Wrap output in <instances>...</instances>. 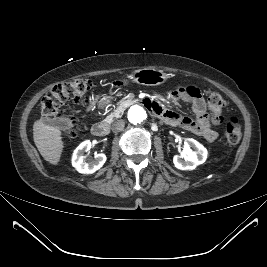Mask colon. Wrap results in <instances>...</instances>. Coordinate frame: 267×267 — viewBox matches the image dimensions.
Listing matches in <instances>:
<instances>
[{"instance_id": "obj_1", "label": "colon", "mask_w": 267, "mask_h": 267, "mask_svg": "<svg viewBox=\"0 0 267 267\" xmlns=\"http://www.w3.org/2000/svg\"><path fill=\"white\" fill-rule=\"evenodd\" d=\"M91 87L92 83L87 79H74L55 85L41 100L42 116L47 120L69 118L65 134L69 138H75L77 136L76 121L74 118L69 117L66 108L71 103L84 101ZM207 102L212 122L215 124L221 123L226 101L220 94L210 92ZM225 136L229 144L239 142L241 125L237 117L232 116L226 121Z\"/></svg>"}]
</instances>
